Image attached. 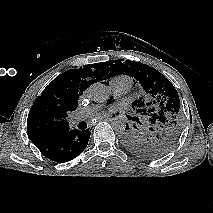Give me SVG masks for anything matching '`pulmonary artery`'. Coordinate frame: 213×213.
I'll return each mask as SVG.
<instances>
[{
  "label": "pulmonary artery",
  "instance_id": "1",
  "mask_svg": "<svg viewBox=\"0 0 213 213\" xmlns=\"http://www.w3.org/2000/svg\"><path fill=\"white\" fill-rule=\"evenodd\" d=\"M132 87L131 80L126 78H114L110 82V88L115 95H123L130 91ZM98 105H93L87 108L81 109L76 115L71 118V123L76 124L85 117L92 114L94 111L98 109Z\"/></svg>",
  "mask_w": 213,
  "mask_h": 213
}]
</instances>
